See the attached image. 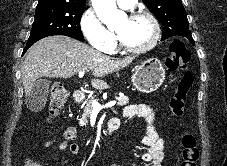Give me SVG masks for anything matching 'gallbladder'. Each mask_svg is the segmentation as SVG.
I'll return each instance as SVG.
<instances>
[{
  "label": "gallbladder",
  "mask_w": 227,
  "mask_h": 166,
  "mask_svg": "<svg viewBox=\"0 0 227 166\" xmlns=\"http://www.w3.org/2000/svg\"><path fill=\"white\" fill-rule=\"evenodd\" d=\"M50 81L38 79L34 82L32 90L26 100L27 107L32 110H40L47 101Z\"/></svg>",
  "instance_id": "bac80fb5"
}]
</instances>
